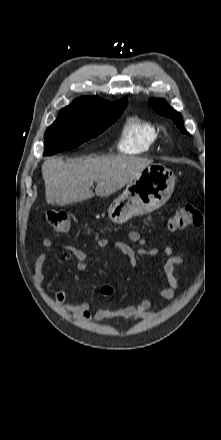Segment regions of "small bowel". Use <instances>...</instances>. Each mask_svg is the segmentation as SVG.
Wrapping results in <instances>:
<instances>
[{"instance_id":"1","label":"small bowel","mask_w":221,"mask_h":440,"mask_svg":"<svg viewBox=\"0 0 221 440\" xmlns=\"http://www.w3.org/2000/svg\"><path fill=\"white\" fill-rule=\"evenodd\" d=\"M129 239L137 244L144 245L146 239L140 235L138 231L132 230L129 232ZM43 246L49 249L54 246V242L51 239H45ZM113 247L120 251L122 255L126 257L129 264V270L131 273L137 269V262L139 257L146 256L153 260H157L163 263V273L165 280L168 284L167 287H157V294L160 298L171 300L173 299L178 290L179 283L175 276V268L184 263L181 255L173 253L170 246L165 247L161 252L158 248H139L134 249L130 245L124 242H116ZM62 257L67 261H76V267L79 270H86L88 268V256L86 252L77 249L75 247L66 246L61 250ZM48 259V253H41L35 262L34 278L36 281L41 282L44 278L43 269ZM68 291L65 288L59 289L55 293V300L58 306L71 312L74 316L89 320V321H101L104 319L120 317L124 319L137 320L143 319L149 316V310L155 305V300L142 299L136 305L111 310L107 307L99 308L96 312H91L90 305L87 302L81 304H70L67 300Z\"/></svg>"}]
</instances>
